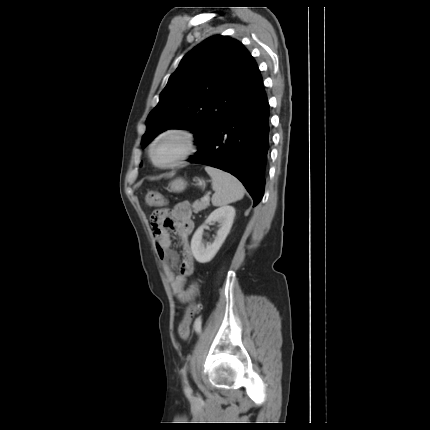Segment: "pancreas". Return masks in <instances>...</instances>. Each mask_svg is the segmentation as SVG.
<instances>
[{"mask_svg": "<svg viewBox=\"0 0 430 430\" xmlns=\"http://www.w3.org/2000/svg\"><path fill=\"white\" fill-rule=\"evenodd\" d=\"M208 206H209V200H206V201L203 199H201V201L196 200L192 204L193 212L198 213L199 211L206 209Z\"/></svg>", "mask_w": 430, "mask_h": 430, "instance_id": "pancreas-1", "label": "pancreas"}]
</instances>
